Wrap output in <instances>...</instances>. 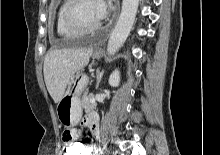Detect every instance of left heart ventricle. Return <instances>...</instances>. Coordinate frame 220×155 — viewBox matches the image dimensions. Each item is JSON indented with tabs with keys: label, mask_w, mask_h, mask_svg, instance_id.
<instances>
[{
	"label": "left heart ventricle",
	"mask_w": 220,
	"mask_h": 155,
	"mask_svg": "<svg viewBox=\"0 0 220 155\" xmlns=\"http://www.w3.org/2000/svg\"><path fill=\"white\" fill-rule=\"evenodd\" d=\"M76 16L85 25H95L102 20L95 0H82L77 8Z\"/></svg>",
	"instance_id": "1"
}]
</instances>
